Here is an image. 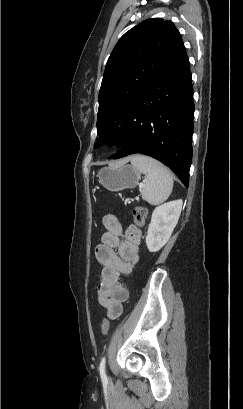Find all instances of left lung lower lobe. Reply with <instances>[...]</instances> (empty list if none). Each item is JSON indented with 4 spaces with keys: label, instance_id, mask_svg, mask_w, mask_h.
<instances>
[{
    "label": "left lung lower lobe",
    "instance_id": "1",
    "mask_svg": "<svg viewBox=\"0 0 243 409\" xmlns=\"http://www.w3.org/2000/svg\"><path fill=\"white\" fill-rule=\"evenodd\" d=\"M193 88L183 42L148 84L119 144L109 157L140 153L174 171L188 186L192 160Z\"/></svg>",
    "mask_w": 243,
    "mask_h": 409
}]
</instances>
